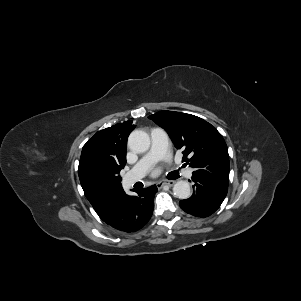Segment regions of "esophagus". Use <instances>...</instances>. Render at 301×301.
<instances>
[{
    "mask_svg": "<svg viewBox=\"0 0 301 301\" xmlns=\"http://www.w3.org/2000/svg\"><path fill=\"white\" fill-rule=\"evenodd\" d=\"M174 183H175L174 180H166L163 182H158L156 185L158 188H162L163 186L172 187L174 185Z\"/></svg>",
    "mask_w": 301,
    "mask_h": 301,
    "instance_id": "esophagus-1",
    "label": "esophagus"
}]
</instances>
